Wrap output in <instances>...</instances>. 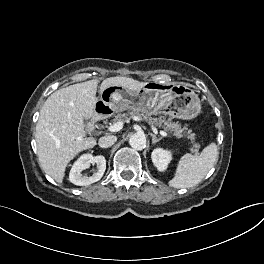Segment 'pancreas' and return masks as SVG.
Segmentation results:
<instances>
[{
	"label": "pancreas",
	"mask_w": 264,
	"mask_h": 264,
	"mask_svg": "<svg viewBox=\"0 0 264 264\" xmlns=\"http://www.w3.org/2000/svg\"><path fill=\"white\" fill-rule=\"evenodd\" d=\"M139 117L146 122L161 127L165 131L169 132L170 134L176 136V138H183L187 137L190 139L192 147L190 148V151L197 155L198 154V148L199 144L195 143V134L191 131L186 132V128L182 127L179 123L173 122L171 119H166L164 116H160L158 118H152L149 115L141 114L139 112H128L123 114H117L114 119L112 120L113 123L117 122H129L130 119L134 117Z\"/></svg>",
	"instance_id": "1"
}]
</instances>
